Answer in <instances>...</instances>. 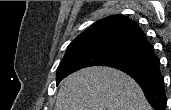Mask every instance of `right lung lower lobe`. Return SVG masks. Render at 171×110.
I'll list each match as a JSON object with an SVG mask.
<instances>
[{"mask_svg": "<svg viewBox=\"0 0 171 110\" xmlns=\"http://www.w3.org/2000/svg\"><path fill=\"white\" fill-rule=\"evenodd\" d=\"M159 65L160 62L148 69L126 70L123 72L131 76L140 85L148 102L155 110H166L167 100Z\"/></svg>", "mask_w": 171, "mask_h": 110, "instance_id": "right-lung-lower-lobe-1", "label": "right lung lower lobe"}]
</instances>
